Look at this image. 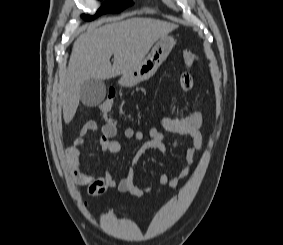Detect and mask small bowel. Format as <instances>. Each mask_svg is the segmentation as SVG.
I'll use <instances>...</instances> for the list:
<instances>
[{"mask_svg": "<svg viewBox=\"0 0 283 245\" xmlns=\"http://www.w3.org/2000/svg\"><path fill=\"white\" fill-rule=\"evenodd\" d=\"M180 84L183 90H191L194 86L193 76L185 72L181 75ZM204 122L203 114L200 112H184L175 115H164L161 120V128L151 127L148 130V139L144 140L145 135L141 130L128 127L124 130V137L127 140L141 142L136 151L131 165L125 178L115 180L109 172L103 177H92L86 174L80 165V147L84 143V137L90 132L98 130L94 121L86 122L80 130L79 136L73 144L66 150V158L70 173L73 179L80 185L86 186L88 193L92 196L104 194L108 189H116L120 192H127L136 196L143 193L135 186L134 168L139 158L148 150H157L163 154L167 152L164 144L165 134L169 133L184 137L189 140V145L185 152L186 166L181 168L173 177L168 178L162 174L157 178L159 185H168L175 188L190 173L194 163L195 154L201 150L203 144V133L201 131ZM118 130L116 124L112 121L107 122L100 128L99 144L102 151L109 154H117L121 151V142L117 139Z\"/></svg>", "mask_w": 283, "mask_h": 245, "instance_id": "c3829d8e", "label": "small bowel"}]
</instances>
